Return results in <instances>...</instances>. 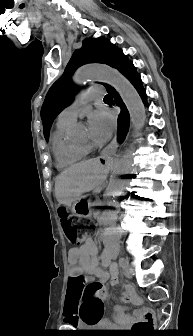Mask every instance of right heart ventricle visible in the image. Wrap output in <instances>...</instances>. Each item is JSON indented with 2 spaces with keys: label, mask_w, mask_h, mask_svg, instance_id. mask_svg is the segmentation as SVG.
Returning a JSON list of instances; mask_svg holds the SVG:
<instances>
[{
  "label": "right heart ventricle",
  "mask_w": 193,
  "mask_h": 336,
  "mask_svg": "<svg viewBox=\"0 0 193 336\" xmlns=\"http://www.w3.org/2000/svg\"><path fill=\"white\" fill-rule=\"evenodd\" d=\"M71 124L57 125L53 133V153L58 167L63 168L83 160L89 152V147L67 138Z\"/></svg>",
  "instance_id": "obj_1"
}]
</instances>
